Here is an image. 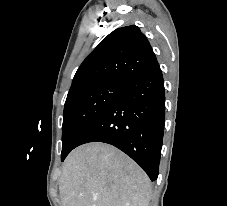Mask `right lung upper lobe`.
Returning <instances> with one entry per match:
<instances>
[{
	"label": "right lung upper lobe",
	"instance_id": "cb5924a9",
	"mask_svg": "<svg viewBox=\"0 0 227 206\" xmlns=\"http://www.w3.org/2000/svg\"><path fill=\"white\" fill-rule=\"evenodd\" d=\"M157 63L149 41L137 26L118 28L104 38L82 62L68 95L106 80L126 82Z\"/></svg>",
	"mask_w": 227,
	"mask_h": 206
}]
</instances>
